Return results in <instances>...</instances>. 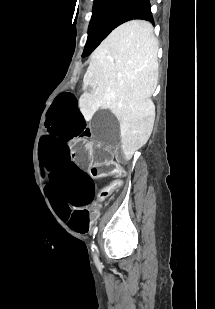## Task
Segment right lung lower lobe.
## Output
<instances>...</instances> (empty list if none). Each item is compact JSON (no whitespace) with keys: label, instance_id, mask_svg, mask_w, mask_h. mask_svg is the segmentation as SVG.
Returning <instances> with one entry per match:
<instances>
[{"label":"right lung lower lobe","instance_id":"98d812e1","mask_svg":"<svg viewBox=\"0 0 215 309\" xmlns=\"http://www.w3.org/2000/svg\"><path fill=\"white\" fill-rule=\"evenodd\" d=\"M134 19H144L154 23L149 0H132L119 19L117 26Z\"/></svg>","mask_w":215,"mask_h":309}]
</instances>
